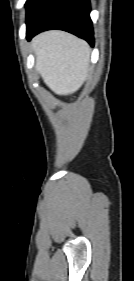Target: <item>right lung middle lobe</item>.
Returning a JSON list of instances; mask_svg holds the SVG:
<instances>
[{
  "instance_id": "dd1d6c3e",
  "label": "right lung middle lobe",
  "mask_w": 134,
  "mask_h": 281,
  "mask_svg": "<svg viewBox=\"0 0 134 281\" xmlns=\"http://www.w3.org/2000/svg\"><path fill=\"white\" fill-rule=\"evenodd\" d=\"M38 0H27L25 6L27 9V16L29 15V13L31 12V10L33 9V7L35 6L36 2Z\"/></svg>"
}]
</instances>
